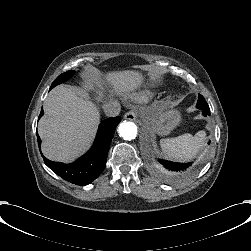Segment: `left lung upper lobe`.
I'll use <instances>...</instances> for the list:
<instances>
[{
	"instance_id": "obj_1",
	"label": "left lung upper lobe",
	"mask_w": 251,
	"mask_h": 251,
	"mask_svg": "<svg viewBox=\"0 0 251 251\" xmlns=\"http://www.w3.org/2000/svg\"><path fill=\"white\" fill-rule=\"evenodd\" d=\"M197 107L202 108V109H209L207 102L205 101L204 97L200 94H199V98H198Z\"/></svg>"
}]
</instances>
